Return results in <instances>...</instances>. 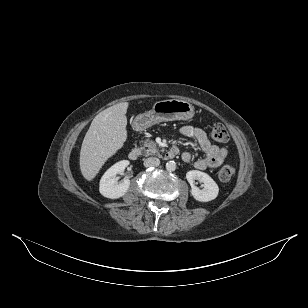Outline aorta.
Wrapping results in <instances>:
<instances>
[{"label":"aorta","instance_id":"obj_1","mask_svg":"<svg viewBox=\"0 0 308 308\" xmlns=\"http://www.w3.org/2000/svg\"><path fill=\"white\" fill-rule=\"evenodd\" d=\"M166 169L168 171H174L176 169V163L174 161H169L166 163Z\"/></svg>","mask_w":308,"mask_h":308}]
</instances>
